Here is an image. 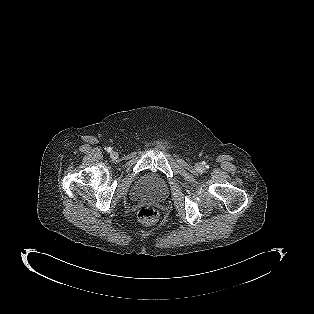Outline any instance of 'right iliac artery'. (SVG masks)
<instances>
[{
  "label": "right iliac artery",
  "instance_id": "82829eb1",
  "mask_svg": "<svg viewBox=\"0 0 314 314\" xmlns=\"http://www.w3.org/2000/svg\"><path fill=\"white\" fill-rule=\"evenodd\" d=\"M106 151H107V152H111V151H112V148H111V147H107Z\"/></svg>",
  "mask_w": 314,
  "mask_h": 314
}]
</instances>
